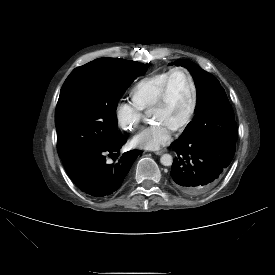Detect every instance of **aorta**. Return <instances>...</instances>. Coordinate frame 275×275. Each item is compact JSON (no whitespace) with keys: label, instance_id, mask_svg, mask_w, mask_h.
Segmentation results:
<instances>
[{"label":"aorta","instance_id":"aorta-1","mask_svg":"<svg viewBox=\"0 0 275 275\" xmlns=\"http://www.w3.org/2000/svg\"><path fill=\"white\" fill-rule=\"evenodd\" d=\"M160 162L164 166H171L173 163V158L170 154H163L160 158Z\"/></svg>","mask_w":275,"mask_h":275}]
</instances>
